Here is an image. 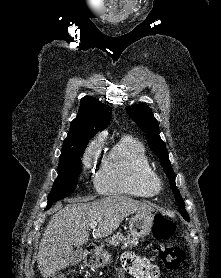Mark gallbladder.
Here are the masks:
<instances>
[{
    "label": "gallbladder",
    "instance_id": "1",
    "mask_svg": "<svg viewBox=\"0 0 221 278\" xmlns=\"http://www.w3.org/2000/svg\"><path fill=\"white\" fill-rule=\"evenodd\" d=\"M82 254H83V251L81 248L74 251V253L70 259V265L75 266V265L79 264L82 260Z\"/></svg>",
    "mask_w": 221,
    "mask_h": 278
}]
</instances>
